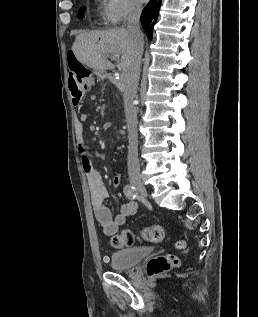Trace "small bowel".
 Listing matches in <instances>:
<instances>
[{"instance_id":"small-bowel-1","label":"small bowel","mask_w":258,"mask_h":317,"mask_svg":"<svg viewBox=\"0 0 258 317\" xmlns=\"http://www.w3.org/2000/svg\"><path fill=\"white\" fill-rule=\"evenodd\" d=\"M74 132L77 145L81 154V163L84 170L91 197V204L97 221L100 223L103 232L112 236L117 233L119 227L126 222L127 217L135 214L137 205L129 201L122 205L120 213L113 216L111 210L105 204L108 191L105 188L100 173L93 166L91 159L85 152L84 124L80 118L74 120ZM122 182V175L117 174L112 180L114 187Z\"/></svg>"}]
</instances>
